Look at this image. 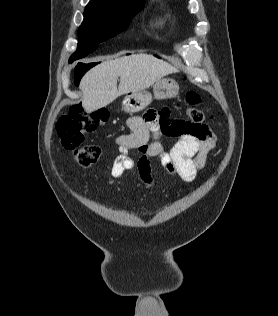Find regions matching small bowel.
<instances>
[{
  "label": "small bowel",
  "mask_w": 278,
  "mask_h": 316,
  "mask_svg": "<svg viewBox=\"0 0 278 316\" xmlns=\"http://www.w3.org/2000/svg\"><path fill=\"white\" fill-rule=\"evenodd\" d=\"M179 121L169 119V112L147 111L142 117L128 118L129 134L116 139L118 156L115 158L111 176L120 178L124 172L135 169L138 179L147 187H152L154 178L151 160L157 159L161 167L171 176L185 182H192L205 167L208 155L216 147V136L206 126L200 134L181 133L172 135L170 131ZM162 135L177 136L178 141L165 150L160 138ZM130 150L140 153L138 158L129 155Z\"/></svg>",
  "instance_id": "1"
}]
</instances>
